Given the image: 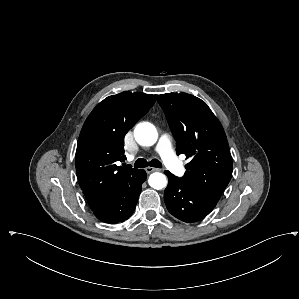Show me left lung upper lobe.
Returning <instances> with one entry per match:
<instances>
[{
    "label": "left lung upper lobe",
    "instance_id": "left-lung-upper-lobe-1",
    "mask_svg": "<svg viewBox=\"0 0 299 299\" xmlns=\"http://www.w3.org/2000/svg\"><path fill=\"white\" fill-rule=\"evenodd\" d=\"M158 102L176 139L177 154L192 158L181 181L218 202L233 171L219 120L204 101L190 94H162Z\"/></svg>",
    "mask_w": 299,
    "mask_h": 299
}]
</instances>
